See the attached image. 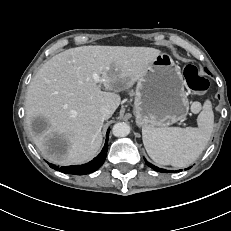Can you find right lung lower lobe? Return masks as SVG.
Masks as SVG:
<instances>
[{
	"mask_svg": "<svg viewBox=\"0 0 231 231\" xmlns=\"http://www.w3.org/2000/svg\"><path fill=\"white\" fill-rule=\"evenodd\" d=\"M109 131L110 130L108 129L107 134H106V137H107L106 143L101 153L89 163L83 164V165L63 166V167H57L56 165H53V164H49V166L60 172H63L66 174H75V175H85V174H89V173L96 171L98 168L102 166L107 156Z\"/></svg>",
	"mask_w": 231,
	"mask_h": 231,
	"instance_id": "obj_1",
	"label": "right lung lower lobe"
}]
</instances>
